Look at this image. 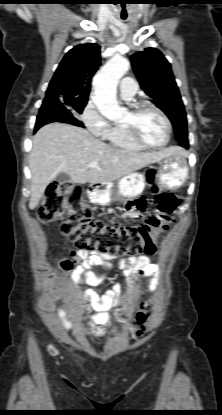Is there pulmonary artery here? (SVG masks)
Here are the masks:
<instances>
[{"label":"pulmonary artery","mask_w":222,"mask_h":415,"mask_svg":"<svg viewBox=\"0 0 222 415\" xmlns=\"http://www.w3.org/2000/svg\"><path fill=\"white\" fill-rule=\"evenodd\" d=\"M120 92L125 100H131L137 92V84L132 78H123L119 84Z\"/></svg>","instance_id":"1"}]
</instances>
